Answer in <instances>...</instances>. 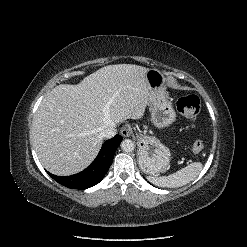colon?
Instances as JSON below:
<instances>
[{
    "mask_svg": "<svg viewBox=\"0 0 247 247\" xmlns=\"http://www.w3.org/2000/svg\"><path fill=\"white\" fill-rule=\"evenodd\" d=\"M176 107L178 112L190 123H194L197 119L199 109H200V101L196 95H187L185 97L180 98ZM204 149V142L202 140H196L193 143L192 150L195 153H200Z\"/></svg>",
    "mask_w": 247,
    "mask_h": 247,
    "instance_id": "colon-1",
    "label": "colon"
}]
</instances>
